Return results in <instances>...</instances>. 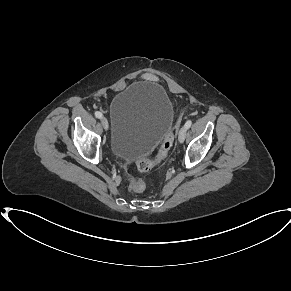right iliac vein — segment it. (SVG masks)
I'll return each mask as SVG.
<instances>
[{"instance_id":"obj_1","label":"right iliac vein","mask_w":291,"mask_h":291,"mask_svg":"<svg viewBox=\"0 0 291 291\" xmlns=\"http://www.w3.org/2000/svg\"><path fill=\"white\" fill-rule=\"evenodd\" d=\"M101 123H102L103 128H104L105 130H108V128H109V124H108V121H107V119H106L105 117H102V118H101Z\"/></svg>"}]
</instances>
